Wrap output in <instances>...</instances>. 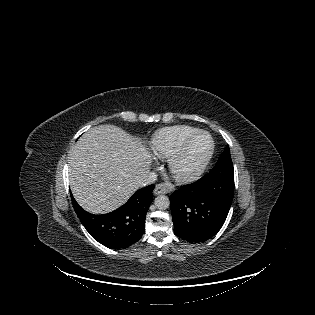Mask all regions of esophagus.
Masks as SVG:
<instances>
[{
  "mask_svg": "<svg viewBox=\"0 0 315 315\" xmlns=\"http://www.w3.org/2000/svg\"><path fill=\"white\" fill-rule=\"evenodd\" d=\"M172 190V186L169 183H159L155 186L154 194L160 195V194H167Z\"/></svg>",
  "mask_w": 315,
  "mask_h": 315,
  "instance_id": "obj_1",
  "label": "esophagus"
}]
</instances>
